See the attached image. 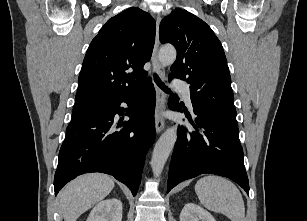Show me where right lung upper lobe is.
<instances>
[{"label":"right lung upper lobe","mask_w":307,"mask_h":221,"mask_svg":"<svg viewBox=\"0 0 307 221\" xmlns=\"http://www.w3.org/2000/svg\"><path fill=\"white\" fill-rule=\"evenodd\" d=\"M156 23L139 8L109 19L92 40L78 78L75 106L110 103L138 91L147 80Z\"/></svg>","instance_id":"obj_1"}]
</instances>
